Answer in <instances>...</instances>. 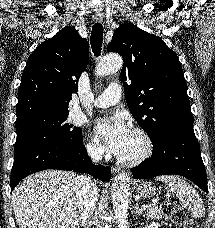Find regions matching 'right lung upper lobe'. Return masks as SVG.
Wrapping results in <instances>:
<instances>
[{"label": "right lung upper lobe", "instance_id": "1", "mask_svg": "<svg viewBox=\"0 0 215 228\" xmlns=\"http://www.w3.org/2000/svg\"><path fill=\"white\" fill-rule=\"evenodd\" d=\"M89 60V46L73 27H65L30 55L18 89L17 121L69 113L72 94Z\"/></svg>", "mask_w": 215, "mask_h": 228}]
</instances>
